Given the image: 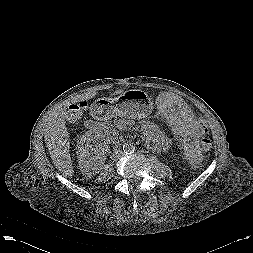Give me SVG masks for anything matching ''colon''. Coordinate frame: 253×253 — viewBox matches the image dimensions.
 <instances>
[{
	"label": "colon",
	"mask_w": 253,
	"mask_h": 253,
	"mask_svg": "<svg viewBox=\"0 0 253 253\" xmlns=\"http://www.w3.org/2000/svg\"><path fill=\"white\" fill-rule=\"evenodd\" d=\"M86 107H87V103H86V101H83V100L71 104L67 110V117L73 121L80 119L81 116L83 115ZM201 124H202L203 130H204V134H203V138H202L201 142L206 146L207 151H208V149L210 147V141L205 136V134L207 133V128L203 122H201Z\"/></svg>",
	"instance_id": "colon-1"
}]
</instances>
